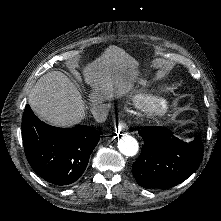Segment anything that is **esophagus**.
Wrapping results in <instances>:
<instances>
[{
	"instance_id": "obj_1",
	"label": "esophagus",
	"mask_w": 221,
	"mask_h": 221,
	"mask_svg": "<svg viewBox=\"0 0 221 221\" xmlns=\"http://www.w3.org/2000/svg\"><path fill=\"white\" fill-rule=\"evenodd\" d=\"M119 129L122 133H126L128 131V126L126 125V123L121 122L119 125Z\"/></svg>"
}]
</instances>
